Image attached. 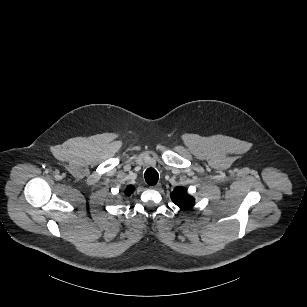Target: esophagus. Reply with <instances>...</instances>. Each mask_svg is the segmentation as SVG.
I'll list each match as a JSON object with an SVG mask.
<instances>
[{"instance_id":"34e87169","label":"esophagus","mask_w":307,"mask_h":307,"mask_svg":"<svg viewBox=\"0 0 307 307\" xmlns=\"http://www.w3.org/2000/svg\"><path fill=\"white\" fill-rule=\"evenodd\" d=\"M161 183H157L154 186H152L153 189L159 190L161 188Z\"/></svg>"}]
</instances>
